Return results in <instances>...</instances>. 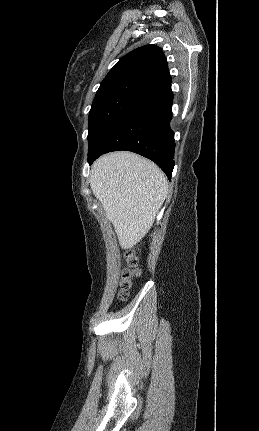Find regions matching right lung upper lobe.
I'll return each instance as SVG.
<instances>
[{
  "label": "right lung upper lobe",
  "instance_id": "obj_1",
  "mask_svg": "<svg viewBox=\"0 0 259 431\" xmlns=\"http://www.w3.org/2000/svg\"><path fill=\"white\" fill-rule=\"evenodd\" d=\"M137 81L151 90L171 83L163 51L156 45L139 47L122 57L103 79L97 92Z\"/></svg>",
  "mask_w": 259,
  "mask_h": 431
}]
</instances>
